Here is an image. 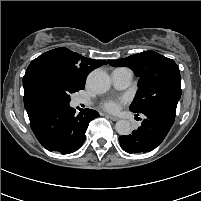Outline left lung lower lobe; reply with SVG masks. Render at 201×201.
Instances as JSON below:
<instances>
[{
    "instance_id": "obj_1",
    "label": "left lung lower lobe",
    "mask_w": 201,
    "mask_h": 201,
    "mask_svg": "<svg viewBox=\"0 0 201 201\" xmlns=\"http://www.w3.org/2000/svg\"><path fill=\"white\" fill-rule=\"evenodd\" d=\"M176 109L159 106L144 112L145 119L132 134L119 137L127 153H145L155 149L168 134L175 120Z\"/></svg>"
}]
</instances>
